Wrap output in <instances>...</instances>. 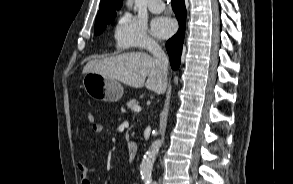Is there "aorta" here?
<instances>
[{"label":"aorta","instance_id":"762f6f07","mask_svg":"<svg viewBox=\"0 0 293 184\" xmlns=\"http://www.w3.org/2000/svg\"><path fill=\"white\" fill-rule=\"evenodd\" d=\"M133 0L127 1V6L132 7ZM162 144L161 140H156L152 143L150 149L144 155L141 165H140V174L145 184H150L152 180V169L153 164L156 159V155L159 152L160 146Z\"/></svg>","mask_w":293,"mask_h":184}]
</instances>
